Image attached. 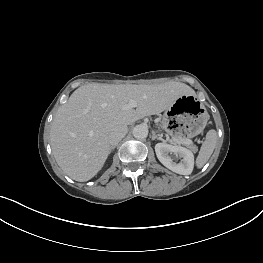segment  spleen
Listing matches in <instances>:
<instances>
[{"label": "spleen", "instance_id": "spleen-1", "mask_svg": "<svg viewBox=\"0 0 263 263\" xmlns=\"http://www.w3.org/2000/svg\"><path fill=\"white\" fill-rule=\"evenodd\" d=\"M217 142V133L215 130H210L206 134V139L201 146L199 154L196 159V165L198 168L203 167L207 161L209 160L210 156L212 155Z\"/></svg>", "mask_w": 263, "mask_h": 263}]
</instances>
